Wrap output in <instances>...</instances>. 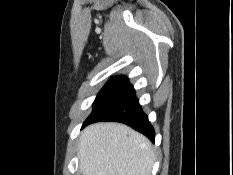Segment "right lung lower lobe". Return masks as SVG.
Segmentation results:
<instances>
[{"instance_id":"98d812e1","label":"right lung lower lobe","mask_w":233,"mask_h":175,"mask_svg":"<svg viewBox=\"0 0 233 175\" xmlns=\"http://www.w3.org/2000/svg\"><path fill=\"white\" fill-rule=\"evenodd\" d=\"M98 121H116L127 124L154 142V129L142 111L133 87L127 89L97 115L87 119L83 127Z\"/></svg>"}]
</instances>
